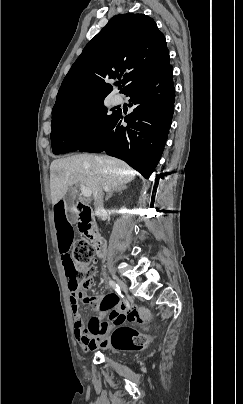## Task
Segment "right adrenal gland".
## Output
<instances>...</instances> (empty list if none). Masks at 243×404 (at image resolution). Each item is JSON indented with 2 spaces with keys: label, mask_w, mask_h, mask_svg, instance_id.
Wrapping results in <instances>:
<instances>
[{
  "label": "right adrenal gland",
  "mask_w": 243,
  "mask_h": 404,
  "mask_svg": "<svg viewBox=\"0 0 243 404\" xmlns=\"http://www.w3.org/2000/svg\"><path fill=\"white\" fill-rule=\"evenodd\" d=\"M122 190H126V186H117V188H113V190H109L108 192V196L106 198V200H110V198H112L113 194H115V192H122Z\"/></svg>",
  "instance_id": "1"
}]
</instances>
